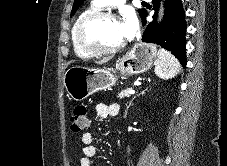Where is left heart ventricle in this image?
<instances>
[{
	"mask_svg": "<svg viewBox=\"0 0 227 166\" xmlns=\"http://www.w3.org/2000/svg\"><path fill=\"white\" fill-rule=\"evenodd\" d=\"M86 34L88 39L105 48L114 47L125 41L123 23L120 20L103 19L91 24Z\"/></svg>",
	"mask_w": 227,
	"mask_h": 166,
	"instance_id": "obj_1",
	"label": "left heart ventricle"
}]
</instances>
